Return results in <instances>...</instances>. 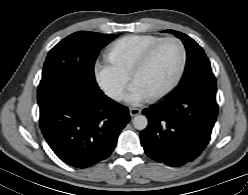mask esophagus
Returning <instances> with one entry per match:
<instances>
[{"mask_svg":"<svg viewBox=\"0 0 248 195\" xmlns=\"http://www.w3.org/2000/svg\"><path fill=\"white\" fill-rule=\"evenodd\" d=\"M140 112V109H138V108H131L130 109V114L131 115H136V114H138Z\"/></svg>","mask_w":248,"mask_h":195,"instance_id":"34e87169","label":"esophagus"}]
</instances>
